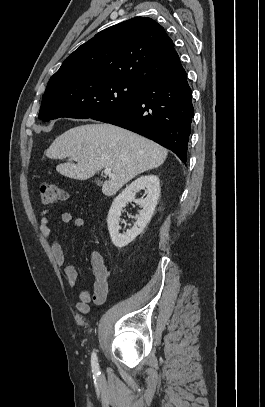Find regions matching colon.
<instances>
[{
  "instance_id": "1",
  "label": "colon",
  "mask_w": 265,
  "mask_h": 407,
  "mask_svg": "<svg viewBox=\"0 0 265 407\" xmlns=\"http://www.w3.org/2000/svg\"><path fill=\"white\" fill-rule=\"evenodd\" d=\"M69 193L55 184H42L39 188V199L41 204L50 205L59 200L69 199Z\"/></svg>"
}]
</instances>
